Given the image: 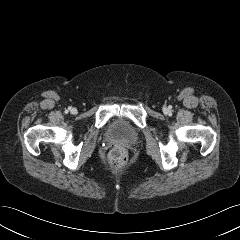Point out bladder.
Segmentation results:
<instances>
[{
	"instance_id": "31cf9c89",
	"label": "bladder",
	"mask_w": 240,
	"mask_h": 240,
	"mask_svg": "<svg viewBox=\"0 0 240 240\" xmlns=\"http://www.w3.org/2000/svg\"><path fill=\"white\" fill-rule=\"evenodd\" d=\"M106 134L111 140H120L130 143L135 142L139 137L138 131L122 119L113 121L108 127Z\"/></svg>"
}]
</instances>
